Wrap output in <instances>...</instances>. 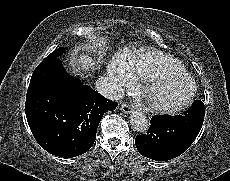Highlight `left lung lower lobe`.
Instances as JSON below:
<instances>
[{"label":"left lung lower lobe","instance_id":"left-lung-lower-lobe-1","mask_svg":"<svg viewBox=\"0 0 230 181\" xmlns=\"http://www.w3.org/2000/svg\"><path fill=\"white\" fill-rule=\"evenodd\" d=\"M205 116V105L196 100L183 116H156L147 134L135 139L138 152L156 161H167L181 155L196 139Z\"/></svg>","mask_w":230,"mask_h":181}]
</instances>
